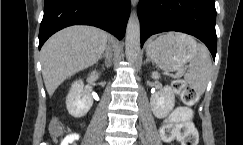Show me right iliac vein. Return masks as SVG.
Listing matches in <instances>:
<instances>
[{"mask_svg": "<svg viewBox=\"0 0 243 145\" xmlns=\"http://www.w3.org/2000/svg\"><path fill=\"white\" fill-rule=\"evenodd\" d=\"M103 145H108L107 143H104Z\"/></svg>", "mask_w": 243, "mask_h": 145, "instance_id": "1", "label": "right iliac vein"}]
</instances>
